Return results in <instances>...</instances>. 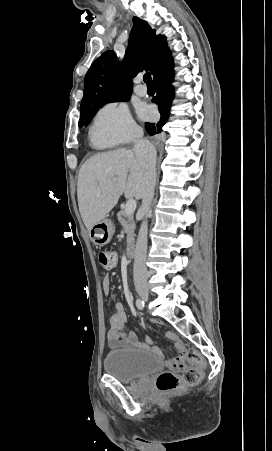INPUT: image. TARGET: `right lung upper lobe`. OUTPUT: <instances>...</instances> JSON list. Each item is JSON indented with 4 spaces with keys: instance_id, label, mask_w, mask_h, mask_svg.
<instances>
[{
    "instance_id": "cb5924a9",
    "label": "right lung upper lobe",
    "mask_w": 272,
    "mask_h": 451,
    "mask_svg": "<svg viewBox=\"0 0 272 451\" xmlns=\"http://www.w3.org/2000/svg\"><path fill=\"white\" fill-rule=\"evenodd\" d=\"M124 63L120 64L113 51L104 52L89 68L84 81V96L80 112L115 100L130 98L134 78L140 70L152 75L171 58L164 36L155 35L144 20L133 18Z\"/></svg>"
}]
</instances>
